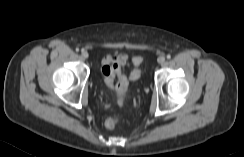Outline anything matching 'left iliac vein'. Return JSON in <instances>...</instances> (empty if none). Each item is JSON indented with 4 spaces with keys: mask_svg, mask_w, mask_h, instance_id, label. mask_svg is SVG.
<instances>
[{
    "mask_svg": "<svg viewBox=\"0 0 244 157\" xmlns=\"http://www.w3.org/2000/svg\"><path fill=\"white\" fill-rule=\"evenodd\" d=\"M157 61H158L159 64H163L165 62V57L164 56H160Z\"/></svg>",
    "mask_w": 244,
    "mask_h": 157,
    "instance_id": "left-iliac-vein-1",
    "label": "left iliac vein"
}]
</instances>
